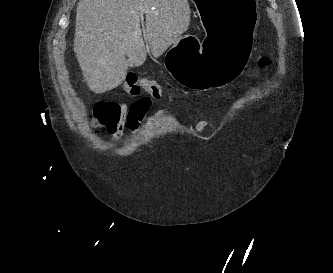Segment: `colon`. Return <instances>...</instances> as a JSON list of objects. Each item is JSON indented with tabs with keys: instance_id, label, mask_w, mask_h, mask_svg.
<instances>
[{
	"instance_id": "obj_1",
	"label": "colon",
	"mask_w": 333,
	"mask_h": 273,
	"mask_svg": "<svg viewBox=\"0 0 333 273\" xmlns=\"http://www.w3.org/2000/svg\"><path fill=\"white\" fill-rule=\"evenodd\" d=\"M260 66H265V60H260ZM123 90L130 95H138L143 90L149 94L153 99H160L167 95L164 87L157 81L139 78L135 73H129L123 84ZM120 107L117 103L112 101H99L95 104L93 120V127L106 128L113 131L119 122Z\"/></svg>"
}]
</instances>
